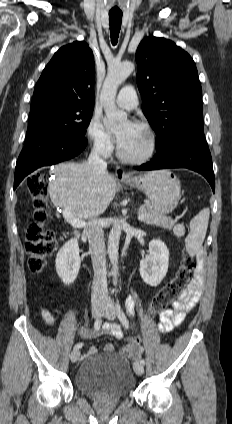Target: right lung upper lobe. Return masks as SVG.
<instances>
[{
  "instance_id": "obj_1",
  "label": "right lung upper lobe",
  "mask_w": 232,
  "mask_h": 424,
  "mask_svg": "<svg viewBox=\"0 0 232 424\" xmlns=\"http://www.w3.org/2000/svg\"><path fill=\"white\" fill-rule=\"evenodd\" d=\"M95 65L92 50L83 41L61 47L39 78L31 108L46 104L94 107Z\"/></svg>"
}]
</instances>
